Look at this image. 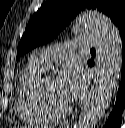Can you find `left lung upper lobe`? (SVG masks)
I'll use <instances>...</instances> for the list:
<instances>
[{
    "label": "left lung upper lobe",
    "instance_id": "1",
    "mask_svg": "<svg viewBox=\"0 0 125 128\" xmlns=\"http://www.w3.org/2000/svg\"><path fill=\"white\" fill-rule=\"evenodd\" d=\"M98 9L118 28L125 22V0H50L31 17L17 50V59L55 37L85 9Z\"/></svg>",
    "mask_w": 125,
    "mask_h": 128
}]
</instances>
